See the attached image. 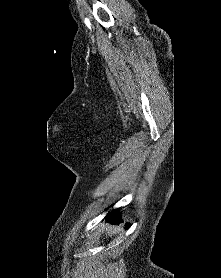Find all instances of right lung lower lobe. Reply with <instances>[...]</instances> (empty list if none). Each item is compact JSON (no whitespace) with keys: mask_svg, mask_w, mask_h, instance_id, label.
Masks as SVG:
<instances>
[{"mask_svg":"<svg viewBox=\"0 0 221 278\" xmlns=\"http://www.w3.org/2000/svg\"><path fill=\"white\" fill-rule=\"evenodd\" d=\"M117 210H113L112 212H110L106 219L108 220H112V222H116V221H119L120 220V217L119 215L117 214ZM130 227V224H126V228L128 229Z\"/></svg>","mask_w":221,"mask_h":278,"instance_id":"right-lung-lower-lobe-1","label":"right lung lower lobe"}]
</instances>
